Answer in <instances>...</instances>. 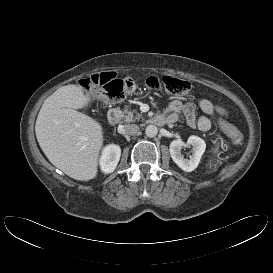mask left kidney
Wrapping results in <instances>:
<instances>
[{
	"instance_id": "obj_1",
	"label": "left kidney",
	"mask_w": 273,
	"mask_h": 273,
	"mask_svg": "<svg viewBox=\"0 0 273 273\" xmlns=\"http://www.w3.org/2000/svg\"><path fill=\"white\" fill-rule=\"evenodd\" d=\"M187 144L193 147V154L189 159L184 158L181 154L182 146L185 143L182 140H174L170 143L169 150L173 161L184 171L191 172L197 168L202 155L206 149V143L198 136H190L187 140Z\"/></svg>"
}]
</instances>
